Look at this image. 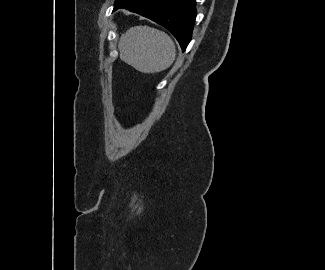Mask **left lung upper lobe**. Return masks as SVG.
Here are the masks:
<instances>
[{
    "instance_id": "left-lung-upper-lobe-1",
    "label": "left lung upper lobe",
    "mask_w": 325,
    "mask_h": 270,
    "mask_svg": "<svg viewBox=\"0 0 325 270\" xmlns=\"http://www.w3.org/2000/svg\"><path fill=\"white\" fill-rule=\"evenodd\" d=\"M118 1H120V0H116V1H115V4H116ZM115 4H114V5H115Z\"/></svg>"
}]
</instances>
